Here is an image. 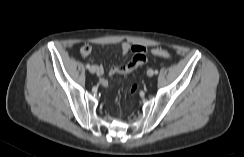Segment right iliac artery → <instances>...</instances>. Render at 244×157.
I'll return each mask as SVG.
<instances>
[{
	"instance_id": "right-iliac-artery-1",
	"label": "right iliac artery",
	"mask_w": 244,
	"mask_h": 157,
	"mask_svg": "<svg viewBox=\"0 0 244 157\" xmlns=\"http://www.w3.org/2000/svg\"><path fill=\"white\" fill-rule=\"evenodd\" d=\"M90 67H91L90 64H86L87 69H90Z\"/></svg>"
}]
</instances>
